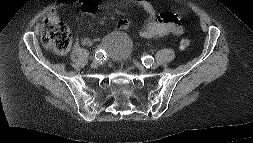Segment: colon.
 <instances>
[{"mask_svg": "<svg viewBox=\"0 0 253 143\" xmlns=\"http://www.w3.org/2000/svg\"><path fill=\"white\" fill-rule=\"evenodd\" d=\"M71 31L67 25L58 20H48L43 25L41 42L56 53H65L71 45ZM191 44L190 38H183L180 41V48L186 49Z\"/></svg>", "mask_w": 253, "mask_h": 143, "instance_id": "5ec220e1", "label": "colon"}]
</instances>
